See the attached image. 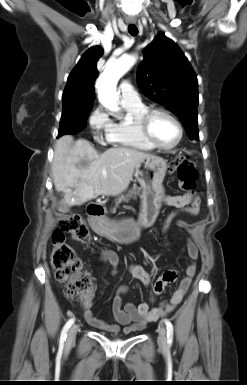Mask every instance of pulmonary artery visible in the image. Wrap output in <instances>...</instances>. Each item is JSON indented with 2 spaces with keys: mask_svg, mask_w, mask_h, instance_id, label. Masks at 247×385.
Returning <instances> with one entry per match:
<instances>
[{
  "mask_svg": "<svg viewBox=\"0 0 247 385\" xmlns=\"http://www.w3.org/2000/svg\"><path fill=\"white\" fill-rule=\"evenodd\" d=\"M120 92H121L122 103L132 104V105L141 103L139 94L136 92V90L133 88V86L129 82L124 81L121 83Z\"/></svg>",
  "mask_w": 247,
  "mask_h": 385,
  "instance_id": "1",
  "label": "pulmonary artery"
}]
</instances>
